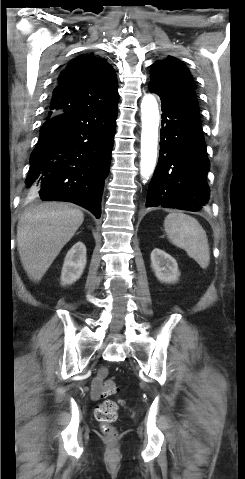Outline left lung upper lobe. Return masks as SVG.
<instances>
[{
	"instance_id": "1",
	"label": "left lung upper lobe",
	"mask_w": 245,
	"mask_h": 479,
	"mask_svg": "<svg viewBox=\"0 0 245 479\" xmlns=\"http://www.w3.org/2000/svg\"><path fill=\"white\" fill-rule=\"evenodd\" d=\"M151 81L164 88H176L184 84L195 87L193 77L185 65L175 57L156 61L151 68Z\"/></svg>"
}]
</instances>
